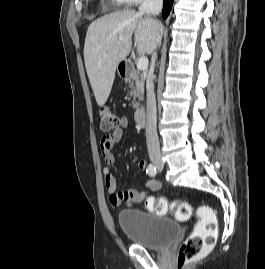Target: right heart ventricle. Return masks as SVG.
<instances>
[{
    "mask_svg": "<svg viewBox=\"0 0 265 269\" xmlns=\"http://www.w3.org/2000/svg\"><path fill=\"white\" fill-rule=\"evenodd\" d=\"M116 3L118 4H123L124 2L122 0H115Z\"/></svg>",
    "mask_w": 265,
    "mask_h": 269,
    "instance_id": "right-heart-ventricle-1",
    "label": "right heart ventricle"
}]
</instances>
